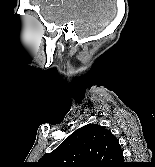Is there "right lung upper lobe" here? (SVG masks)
<instances>
[{
    "label": "right lung upper lobe",
    "mask_w": 155,
    "mask_h": 167,
    "mask_svg": "<svg viewBox=\"0 0 155 167\" xmlns=\"http://www.w3.org/2000/svg\"><path fill=\"white\" fill-rule=\"evenodd\" d=\"M123 153L105 127L88 124L73 132L55 150L40 159L43 167H120Z\"/></svg>",
    "instance_id": "right-lung-upper-lobe-1"
}]
</instances>
